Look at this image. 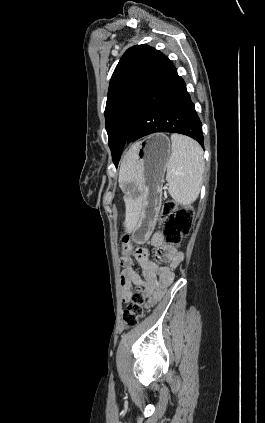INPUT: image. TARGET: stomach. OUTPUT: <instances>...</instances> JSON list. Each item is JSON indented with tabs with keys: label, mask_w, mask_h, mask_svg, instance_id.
<instances>
[{
	"label": "stomach",
	"mask_w": 265,
	"mask_h": 423,
	"mask_svg": "<svg viewBox=\"0 0 265 423\" xmlns=\"http://www.w3.org/2000/svg\"><path fill=\"white\" fill-rule=\"evenodd\" d=\"M169 138L152 134L137 143L136 163L141 171L140 183H135L141 202L132 238L137 244L147 241L159 217L163 178L171 155Z\"/></svg>",
	"instance_id": "stomach-1"
}]
</instances>
